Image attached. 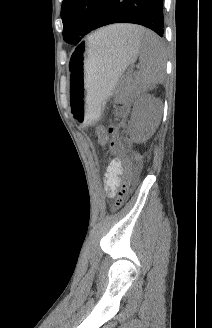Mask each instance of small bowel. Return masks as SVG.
<instances>
[{
	"instance_id": "1",
	"label": "small bowel",
	"mask_w": 212,
	"mask_h": 328,
	"mask_svg": "<svg viewBox=\"0 0 212 328\" xmlns=\"http://www.w3.org/2000/svg\"><path fill=\"white\" fill-rule=\"evenodd\" d=\"M124 173V164L121 159H113L104 174L105 191L109 197H114L121 184V177Z\"/></svg>"
}]
</instances>
